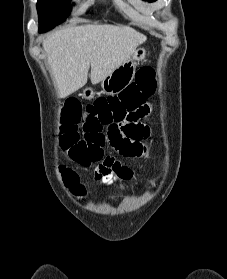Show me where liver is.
<instances>
[{"label":"liver","mask_w":227,"mask_h":279,"mask_svg":"<svg viewBox=\"0 0 227 279\" xmlns=\"http://www.w3.org/2000/svg\"><path fill=\"white\" fill-rule=\"evenodd\" d=\"M146 36L129 26L87 24L67 27L43 41L58 95L65 98L90 78L98 84L127 61Z\"/></svg>","instance_id":"1"}]
</instances>
